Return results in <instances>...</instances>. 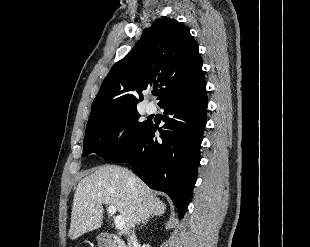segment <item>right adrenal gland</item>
Wrapping results in <instances>:
<instances>
[{"label":"right adrenal gland","mask_w":310,"mask_h":247,"mask_svg":"<svg viewBox=\"0 0 310 247\" xmlns=\"http://www.w3.org/2000/svg\"><path fill=\"white\" fill-rule=\"evenodd\" d=\"M147 222H148V219H145V220L142 222V225L140 226V228L143 227L144 225H146Z\"/></svg>","instance_id":"right-adrenal-gland-1"}]
</instances>
